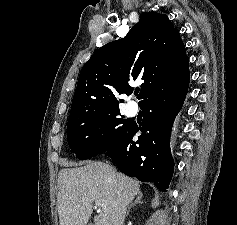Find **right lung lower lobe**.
Masks as SVG:
<instances>
[{
  "mask_svg": "<svg viewBox=\"0 0 237 225\" xmlns=\"http://www.w3.org/2000/svg\"><path fill=\"white\" fill-rule=\"evenodd\" d=\"M188 85L189 80L172 82L153 90L139 103L144 111L142 124L138 127L129 123L116 143L103 152L121 172L143 182H153L163 192L168 188L174 170L169 148L172 125L184 102ZM138 131L142 134L134 142L132 138Z\"/></svg>",
  "mask_w": 237,
  "mask_h": 225,
  "instance_id": "98d812e1",
  "label": "right lung lower lobe"
}]
</instances>
